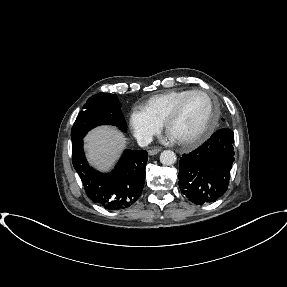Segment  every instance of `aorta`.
I'll use <instances>...</instances> for the list:
<instances>
[{
  "instance_id": "obj_1",
  "label": "aorta",
  "mask_w": 287,
  "mask_h": 287,
  "mask_svg": "<svg viewBox=\"0 0 287 287\" xmlns=\"http://www.w3.org/2000/svg\"><path fill=\"white\" fill-rule=\"evenodd\" d=\"M176 154L171 150H164L160 154V162L163 165H173L176 162Z\"/></svg>"
}]
</instances>
